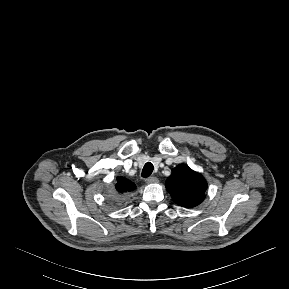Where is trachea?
<instances>
[{
	"instance_id": "1",
	"label": "trachea",
	"mask_w": 289,
	"mask_h": 289,
	"mask_svg": "<svg viewBox=\"0 0 289 289\" xmlns=\"http://www.w3.org/2000/svg\"><path fill=\"white\" fill-rule=\"evenodd\" d=\"M153 169V164L151 162H147L142 169L141 176L144 178L149 177L152 174Z\"/></svg>"
}]
</instances>
